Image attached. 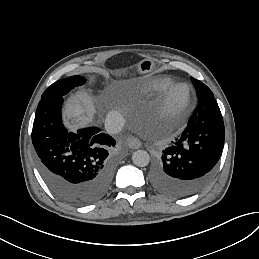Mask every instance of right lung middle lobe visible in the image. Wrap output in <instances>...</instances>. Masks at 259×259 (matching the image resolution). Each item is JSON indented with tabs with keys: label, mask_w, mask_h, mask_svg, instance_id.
Listing matches in <instances>:
<instances>
[{
	"label": "right lung middle lobe",
	"mask_w": 259,
	"mask_h": 259,
	"mask_svg": "<svg viewBox=\"0 0 259 259\" xmlns=\"http://www.w3.org/2000/svg\"><path fill=\"white\" fill-rule=\"evenodd\" d=\"M86 82L82 76L76 75L56 81L49 86L41 96V99L63 97L75 87L81 86Z\"/></svg>",
	"instance_id": "obj_1"
}]
</instances>
